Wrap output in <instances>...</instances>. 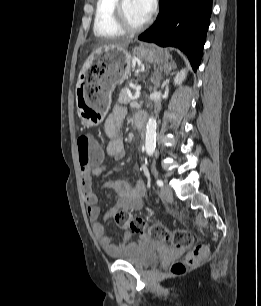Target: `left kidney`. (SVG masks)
Here are the masks:
<instances>
[{
    "instance_id": "1",
    "label": "left kidney",
    "mask_w": 261,
    "mask_h": 306,
    "mask_svg": "<svg viewBox=\"0 0 261 306\" xmlns=\"http://www.w3.org/2000/svg\"><path fill=\"white\" fill-rule=\"evenodd\" d=\"M186 74L187 71L185 68L178 72L174 78L175 85H181L184 79L186 78Z\"/></svg>"
}]
</instances>
